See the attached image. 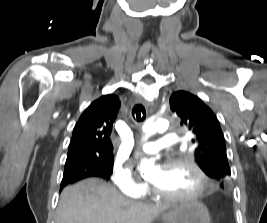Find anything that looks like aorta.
<instances>
[{
	"label": "aorta",
	"instance_id": "aorta-1",
	"mask_svg": "<svg viewBox=\"0 0 267 223\" xmlns=\"http://www.w3.org/2000/svg\"><path fill=\"white\" fill-rule=\"evenodd\" d=\"M169 122L164 119H149L143 125V131L145 133L144 140H147L150 136L156 132H162L167 130ZM139 170L141 174L149 175L156 170L154 162L148 159H143L140 163Z\"/></svg>",
	"mask_w": 267,
	"mask_h": 223
}]
</instances>
